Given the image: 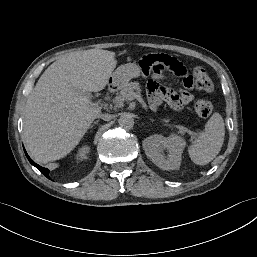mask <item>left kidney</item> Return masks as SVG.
<instances>
[{
    "instance_id": "1",
    "label": "left kidney",
    "mask_w": 257,
    "mask_h": 257,
    "mask_svg": "<svg viewBox=\"0 0 257 257\" xmlns=\"http://www.w3.org/2000/svg\"><path fill=\"white\" fill-rule=\"evenodd\" d=\"M185 145V140L175 134L169 137L152 135L143 141L147 157L162 170H175L180 167Z\"/></svg>"
}]
</instances>
